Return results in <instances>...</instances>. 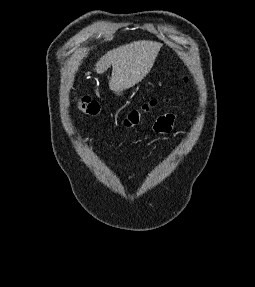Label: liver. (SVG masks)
<instances>
[{"label": "liver", "instance_id": "liver-1", "mask_svg": "<svg viewBox=\"0 0 255 287\" xmlns=\"http://www.w3.org/2000/svg\"><path fill=\"white\" fill-rule=\"evenodd\" d=\"M162 44L140 40L107 52L96 64L97 74H103L112 66V76L109 82L110 90L119 92L132 88L149 74Z\"/></svg>", "mask_w": 255, "mask_h": 287}]
</instances>
